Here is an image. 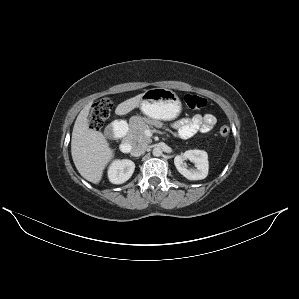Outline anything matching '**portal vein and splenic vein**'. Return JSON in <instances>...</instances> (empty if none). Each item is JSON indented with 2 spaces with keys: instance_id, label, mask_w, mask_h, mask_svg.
I'll return each instance as SVG.
<instances>
[{
  "instance_id": "1",
  "label": "portal vein and splenic vein",
  "mask_w": 299,
  "mask_h": 299,
  "mask_svg": "<svg viewBox=\"0 0 299 299\" xmlns=\"http://www.w3.org/2000/svg\"><path fill=\"white\" fill-rule=\"evenodd\" d=\"M147 135H148V136L150 135V131H149V130L147 131Z\"/></svg>"
}]
</instances>
